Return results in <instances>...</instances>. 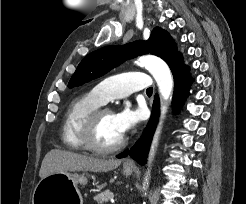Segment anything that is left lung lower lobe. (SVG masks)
<instances>
[{"label": "left lung lower lobe", "mask_w": 246, "mask_h": 204, "mask_svg": "<svg viewBox=\"0 0 246 204\" xmlns=\"http://www.w3.org/2000/svg\"><path fill=\"white\" fill-rule=\"evenodd\" d=\"M174 77V105L180 108L185 96L188 94L190 84L192 83V78L189 75L188 67L183 64L182 57L180 56L173 66L170 68ZM153 111L151 119L144 130L141 139L138 143L131 148V150H126L119 154L118 158L126 157L130 155L131 158L136 160L139 164L144 165L146 162V156L149 151L150 142L156 127V123L159 115V98L156 95L153 103Z\"/></svg>", "instance_id": "0a47b994"}]
</instances>
